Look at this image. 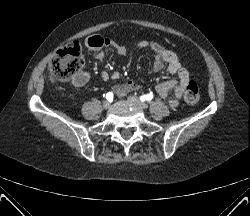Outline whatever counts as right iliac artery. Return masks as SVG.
<instances>
[{"instance_id": "obj_1", "label": "right iliac artery", "mask_w": 250, "mask_h": 216, "mask_svg": "<svg viewBox=\"0 0 250 216\" xmlns=\"http://www.w3.org/2000/svg\"><path fill=\"white\" fill-rule=\"evenodd\" d=\"M106 99L109 100V101H111L113 99V93L112 92H108L106 94Z\"/></svg>"}]
</instances>
